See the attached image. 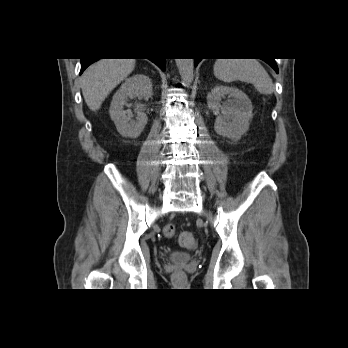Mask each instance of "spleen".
Instances as JSON below:
<instances>
[{
	"mask_svg": "<svg viewBox=\"0 0 348 348\" xmlns=\"http://www.w3.org/2000/svg\"><path fill=\"white\" fill-rule=\"evenodd\" d=\"M213 71L215 77L225 83L236 80L251 83L264 95L274 91L272 79L256 59H217Z\"/></svg>",
	"mask_w": 348,
	"mask_h": 348,
	"instance_id": "3e777b00",
	"label": "spleen"
}]
</instances>
